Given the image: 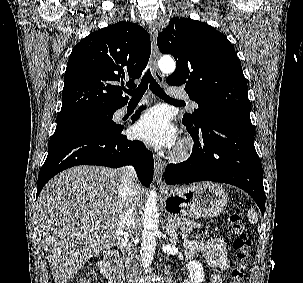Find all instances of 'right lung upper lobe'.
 I'll list each match as a JSON object with an SVG mask.
<instances>
[{
	"instance_id": "cb5924a9",
	"label": "right lung upper lobe",
	"mask_w": 303,
	"mask_h": 283,
	"mask_svg": "<svg viewBox=\"0 0 303 283\" xmlns=\"http://www.w3.org/2000/svg\"><path fill=\"white\" fill-rule=\"evenodd\" d=\"M150 52L149 34L137 24L121 21L92 32L71 52L58 116L123 107L128 97L117 83L135 88Z\"/></svg>"
}]
</instances>
